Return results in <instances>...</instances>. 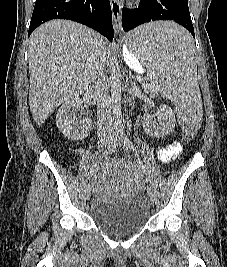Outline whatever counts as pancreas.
<instances>
[{
    "label": "pancreas",
    "mask_w": 227,
    "mask_h": 267,
    "mask_svg": "<svg viewBox=\"0 0 227 267\" xmlns=\"http://www.w3.org/2000/svg\"><path fill=\"white\" fill-rule=\"evenodd\" d=\"M155 87H157L156 85H153V87L151 89H154Z\"/></svg>",
    "instance_id": "1"
}]
</instances>
